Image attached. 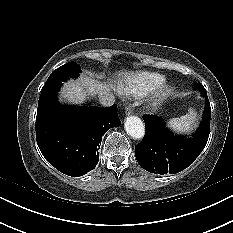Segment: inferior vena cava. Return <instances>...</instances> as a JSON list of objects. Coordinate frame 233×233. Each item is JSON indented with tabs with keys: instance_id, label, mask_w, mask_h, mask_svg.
Masks as SVG:
<instances>
[{
	"instance_id": "inferior-vena-cava-1",
	"label": "inferior vena cava",
	"mask_w": 233,
	"mask_h": 233,
	"mask_svg": "<svg viewBox=\"0 0 233 233\" xmlns=\"http://www.w3.org/2000/svg\"><path fill=\"white\" fill-rule=\"evenodd\" d=\"M98 98L100 104L104 107L112 106L115 103L114 95L109 92L99 94Z\"/></svg>"
}]
</instances>
